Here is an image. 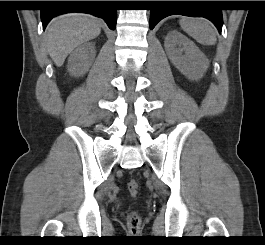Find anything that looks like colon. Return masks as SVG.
<instances>
[{
    "instance_id": "1",
    "label": "colon",
    "mask_w": 265,
    "mask_h": 245,
    "mask_svg": "<svg viewBox=\"0 0 265 245\" xmlns=\"http://www.w3.org/2000/svg\"><path fill=\"white\" fill-rule=\"evenodd\" d=\"M138 189H139V184H138L137 181L131 180L128 183V190H129V192L131 193L132 196H136L137 195ZM128 223H129L131 234L132 235H137L138 234V230H139V226H140V223H141V218H140V215L136 211H132V212L129 213Z\"/></svg>"
}]
</instances>
